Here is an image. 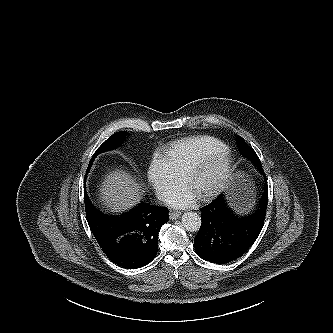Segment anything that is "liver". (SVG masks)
<instances>
[{"label": "liver", "mask_w": 333, "mask_h": 333, "mask_svg": "<svg viewBox=\"0 0 333 333\" xmlns=\"http://www.w3.org/2000/svg\"><path fill=\"white\" fill-rule=\"evenodd\" d=\"M142 187L125 170L109 172L100 187V199L112 212H122L134 206L141 198Z\"/></svg>", "instance_id": "1"}]
</instances>
